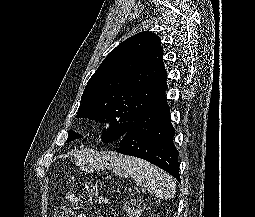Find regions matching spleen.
I'll return each instance as SVG.
<instances>
[{"label": "spleen", "mask_w": 255, "mask_h": 217, "mask_svg": "<svg viewBox=\"0 0 255 217\" xmlns=\"http://www.w3.org/2000/svg\"><path fill=\"white\" fill-rule=\"evenodd\" d=\"M110 167L115 174L130 176L141 187L147 188L160 200H170L175 195L173 178L149 162L130 156L111 154Z\"/></svg>", "instance_id": "obj_1"}]
</instances>
